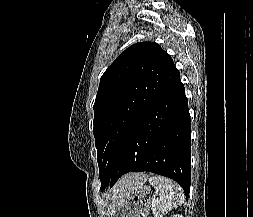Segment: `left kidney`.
I'll list each match as a JSON object with an SVG mask.
<instances>
[{"label": "left kidney", "instance_id": "obj_1", "mask_svg": "<svg viewBox=\"0 0 253 217\" xmlns=\"http://www.w3.org/2000/svg\"><path fill=\"white\" fill-rule=\"evenodd\" d=\"M171 217H183L182 215H173V216H171Z\"/></svg>", "mask_w": 253, "mask_h": 217}]
</instances>
